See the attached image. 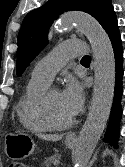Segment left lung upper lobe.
I'll use <instances>...</instances> for the list:
<instances>
[{
    "label": "left lung upper lobe",
    "mask_w": 125,
    "mask_h": 167,
    "mask_svg": "<svg viewBox=\"0 0 125 167\" xmlns=\"http://www.w3.org/2000/svg\"><path fill=\"white\" fill-rule=\"evenodd\" d=\"M78 10L91 14L107 32L116 20L111 0H48L29 12L18 34L17 75L20 76L47 45L48 30L54 20L65 11Z\"/></svg>",
    "instance_id": "5c2ea615"
}]
</instances>
